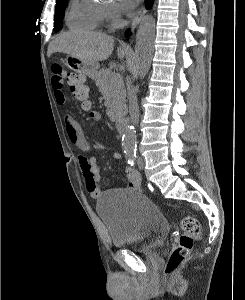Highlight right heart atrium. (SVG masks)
Masks as SVG:
<instances>
[{
  "instance_id": "d8ad5b80",
  "label": "right heart atrium",
  "mask_w": 245,
  "mask_h": 300,
  "mask_svg": "<svg viewBox=\"0 0 245 300\" xmlns=\"http://www.w3.org/2000/svg\"><path fill=\"white\" fill-rule=\"evenodd\" d=\"M103 17L109 18V19H113V15L111 10L109 9H103Z\"/></svg>"
}]
</instances>
